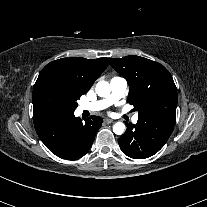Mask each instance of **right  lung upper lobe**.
<instances>
[{"label": "right lung upper lobe", "mask_w": 207, "mask_h": 207, "mask_svg": "<svg viewBox=\"0 0 207 207\" xmlns=\"http://www.w3.org/2000/svg\"><path fill=\"white\" fill-rule=\"evenodd\" d=\"M108 66V58L85 59L81 57L62 58L47 64L40 72L34 85L35 89L47 79H52L60 83L72 94L81 97L87 93L94 81ZM41 115L34 109L33 117Z\"/></svg>", "instance_id": "1"}]
</instances>
